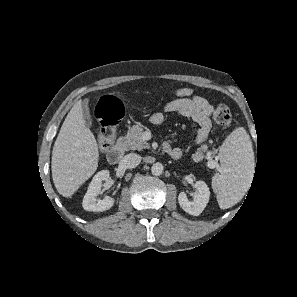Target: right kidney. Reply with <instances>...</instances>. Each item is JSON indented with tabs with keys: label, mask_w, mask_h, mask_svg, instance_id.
Segmentation results:
<instances>
[{
	"label": "right kidney",
	"mask_w": 297,
	"mask_h": 297,
	"mask_svg": "<svg viewBox=\"0 0 297 297\" xmlns=\"http://www.w3.org/2000/svg\"><path fill=\"white\" fill-rule=\"evenodd\" d=\"M109 175L108 170H102L93 177L83 198L82 206L86 211L103 212L113 207L115 202L113 198L106 196L103 200L99 201H96L95 198L101 190L102 181L108 180Z\"/></svg>",
	"instance_id": "1"
}]
</instances>
